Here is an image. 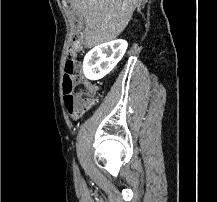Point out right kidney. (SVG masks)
I'll use <instances>...</instances> for the list:
<instances>
[{
    "mask_svg": "<svg viewBox=\"0 0 217 202\" xmlns=\"http://www.w3.org/2000/svg\"><path fill=\"white\" fill-rule=\"evenodd\" d=\"M128 48L125 40H113L90 50L84 58V74L89 80H100L123 58Z\"/></svg>",
    "mask_w": 217,
    "mask_h": 202,
    "instance_id": "obj_1",
    "label": "right kidney"
}]
</instances>
